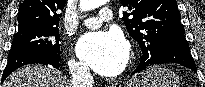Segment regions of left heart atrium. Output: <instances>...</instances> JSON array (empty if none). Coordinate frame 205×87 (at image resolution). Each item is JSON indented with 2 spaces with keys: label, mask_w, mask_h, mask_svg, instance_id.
Returning a JSON list of instances; mask_svg holds the SVG:
<instances>
[{
  "label": "left heart atrium",
  "mask_w": 205,
  "mask_h": 87,
  "mask_svg": "<svg viewBox=\"0 0 205 87\" xmlns=\"http://www.w3.org/2000/svg\"><path fill=\"white\" fill-rule=\"evenodd\" d=\"M77 54L99 74L114 76L124 68L129 48L118 31H98L87 33L80 38Z\"/></svg>",
  "instance_id": "obj_1"
}]
</instances>
